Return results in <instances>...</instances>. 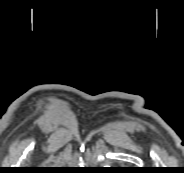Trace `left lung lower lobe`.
I'll return each mask as SVG.
<instances>
[{"label":"left lung lower lobe","instance_id":"0a47b994","mask_svg":"<svg viewBox=\"0 0 184 173\" xmlns=\"http://www.w3.org/2000/svg\"><path fill=\"white\" fill-rule=\"evenodd\" d=\"M120 169H122V171H125V169H127V168H120Z\"/></svg>","mask_w":184,"mask_h":173}]
</instances>
